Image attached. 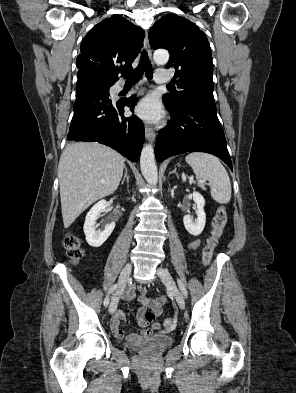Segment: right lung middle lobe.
Instances as JSON below:
<instances>
[{"label": "right lung middle lobe", "instance_id": "obj_1", "mask_svg": "<svg viewBox=\"0 0 296 393\" xmlns=\"http://www.w3.org/2000/svg\"><path fill=\"white\" fill-rule=\"evenodd\" d=\"M94 80L100 87H102L109 94V87L113 85L112 83L97 78H94Z\"/></svg>", "mask_w": 296, "mask_h": 393}]
</instances>
